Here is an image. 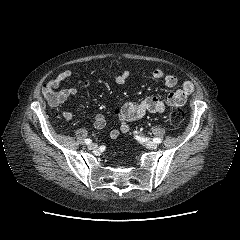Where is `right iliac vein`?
I'll return each mask as SVG.
<instances>
[{"label": "right iliac vein", "mask_w": 240, "mask_h": 240, "mask_svg": "<svg viewBox=\"0 0 240 240\" xmlns=\"http://www.w3.org/2000/svg\"><path fill=\"white\" fill-rule=\"evenodd\" d=\"M88 149L89 150H94V149H96L97 148V145L96 144H94V143H90V144H88Z\"/></svg>", "instance_id": "63e3f726"}]
</instances>
